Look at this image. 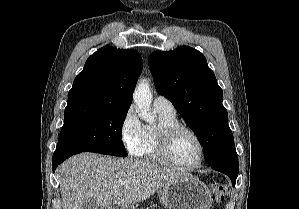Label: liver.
Here are the masks:
<instances>
[{"instance_id":"6515ba94","label":"liver","mask_w":299,"mask_h":209,"mask_svg":"<svg viewBox=\"0 0 299 209\" xmlns=\"http://www.w3.org/2000/svg\"><path fill=\"white\" fill-rule=\"evenodd\" d=\"M188 176L147 161L87 153L71 157L57 169L63 209H82L88 199L107 207L133 205ZM121 181L127 184L120 185Z\"/></svg>"}]
</instances>
